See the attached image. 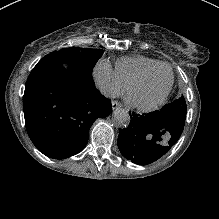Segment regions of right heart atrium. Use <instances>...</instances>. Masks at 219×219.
I'll list each match as a JSON object with an SVG mask.
<instances>
[{
  "instance_id": "d8ad5b80",
  "label": "right heart atrium",
  "mask_w": 219,
  "mask_h": 219,
  "mask_svg": "<svg viewBox=\"0 0 219 219\" xmlns=\"http://www.w3.org/2000/svg\"><path fill=\"white\" fill-rule=\"evenodd\" d=\"M93 77L101 91L109 97L118 96L125 91L124 85L116 78L111 66L105 61L96 64Z\"/></svg>"
}]
</instances>
